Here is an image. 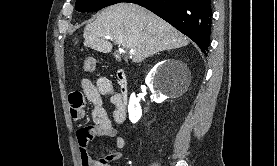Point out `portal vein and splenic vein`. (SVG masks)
<instances>
[{"label": "portal vein and splenic vein", "mask_w": 277, "mask_h": 166, "mask_svg": "<svg viewBox=\"0 0 277 166\" xmlns=\"http://www.w3.org/2000/svg\"><path fill=\"white\" fill-rule=\"evenodd\" d=\"M105 38H106V39H111L110 36H106ZM129 53H130V55H134V54H135V51L131 49V50H129Z\"/></svg>", "instance_id": "1"}]
</instances>
